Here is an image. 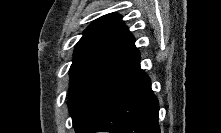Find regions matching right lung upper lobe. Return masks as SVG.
<instances>
[{
    "instance_id": "cb5924a9",
    "label": "right lung upper lobe",
    "mask_w": 221,
    "mask_h": 133,
    "mask_svg": "<svg viewBox=\"0 0 221 133\" xmlns=\"http://www.w3.org/2000/svg\"><path fill=\"white\" fill-rule=\"evenodd\" d=\"M134 41L120 15L102 16L89 25L76 44L70 72L104 73L140 55Z\"/></svg>"
}]
</instances>
